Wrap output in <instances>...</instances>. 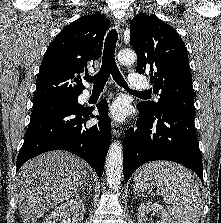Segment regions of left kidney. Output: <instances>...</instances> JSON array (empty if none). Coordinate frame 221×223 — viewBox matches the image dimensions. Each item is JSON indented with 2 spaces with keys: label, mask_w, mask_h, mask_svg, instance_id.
I'll return each instance as SVG.
<instances>
[{
  "label": "left kidney",
  "mask_w": 221,
  "mask_h": 223,
  "mask_svg": "<svg viewBox=\"0 0 221 223\" xmlns=\"http://www.w3.org/2000/svg\"><path fill=\"white\" fill-rule=\"evenodd\" d=\"M150 212L160 217L158 223H174L168 212L159 204L151 201L143 202L138 209V223H146V215Z\"/></svg>",
  "instance_id": "left-kidney-1"
}]
</instances>
